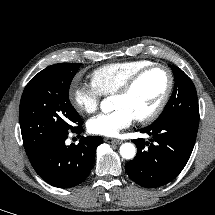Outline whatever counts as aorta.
<instances>
[{
	"label": "aorta",
	"mask_w": 215,
	"mask_h": 215,
	"mask_svg": "<svg viewBox=\"0 0 215 215\" xmlns=\"http://www.w3.org/2000/svg\"><path fill=\"white\" fill-rule=\"evenodd\" d=\"M101 110L109 112L112 110V105L108 99L101 102ZM136 154V148L132 143H124L120 146V155L124 159H132Z\"/></svg>",
	"instance_id": "762f6f07"
}]
</instances>
